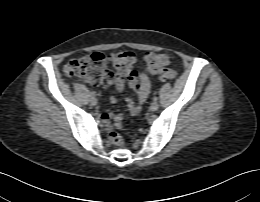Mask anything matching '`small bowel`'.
<instances>
[{"label":"small bowel","mask_w":260,"mask_h":202,"mask_svg":"<svg viewBox=\"0 0 260 202\" xmlns=\"http://www.w3.org/2000/svg\"><path fill=\"white\" fill-rule=\"evenodd\" d=\"M114 84L118 91L122 92L124 89V79L121 76H116ZM129 85L134 91V97L127 99L129 107V113L134 116L137 115L145 101L147 100L151 82L149 76L145 73L138 74L136 71H130L129 73ZM115 96L110 97L111 103H116ZM100 120L104 123L105 128L111 131L114 127L120 128L123 125V116L121 114L114 113H101Z\"/></svg>","instance_id":"obj_1"}]
</instances>
